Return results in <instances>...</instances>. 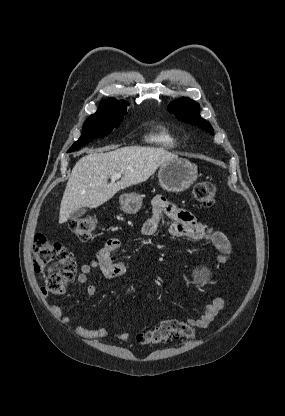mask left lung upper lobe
<instances>
[{
  "label": "left lung upper lobe",
  "instance_id": "left-lung-upper-lobe-1",
  "mask_svg": "<svg viewBox=\"0 0 285 416\" xmlns=\"http://www.w3.org/2000/svg\"><path fill=\"white\" fill-rule=\"evenodd\" d=\"M168 111L175 114L179 120L201 127L214 135L212 126L200 116L199 104L195 101L188 98L175 100L169 105Z\"/></svg>",
  "mask_w": 285,
  "mask_h": 416
}]
</instances>
